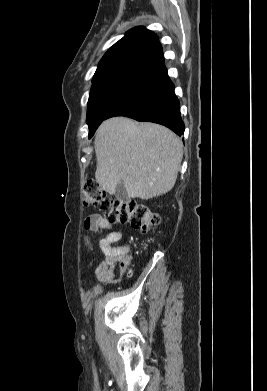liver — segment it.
Segmentation results:
<instances>
[{"label":"liver","mask_w":267,"mask_h":391,"mask_svg":"<svg viewBox=\"0 0 267 391\" xmlns=\"http://www.w3.org/2000/svg\"><path fill=\"white\" fill-rule=\"evenodd\" d=\"M96 181L109 194L123 182L128 197L148 200L169 192L183 158L181 140L168 128L126 117L105 120L94 141Z\"/></svg>","instance_id":"obj_1"}]
</instances>
